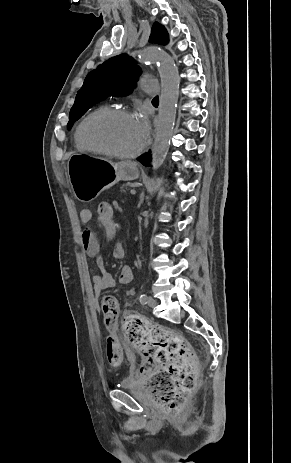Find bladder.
<instances>
[{
  "mask_svg": "<svg viewBox=\"0 0 291 463\" xmlns=\"http://www.w3.org/2000/svg\"><path fill=\"white\" fill-rule=\"evenodd\" d=\"M128 359H129V361H132L133 357L128 356ZM137 385H138L137 379L134 376L130 375V374H126L118 382V386L120 388H129V387H133V386H137Z\"/></svg>",
  "mask_w": 291,
  "mask_h": 463,
  "instance_id": "obj_1",
  "label": "bladder"
}]
</instances>
